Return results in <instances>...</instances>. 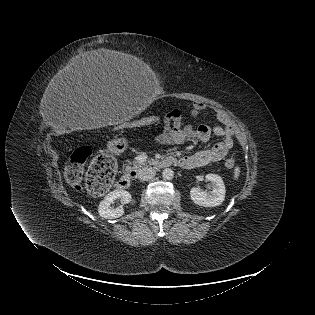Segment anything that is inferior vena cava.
I'll return each mask as SVG.
<instances>
[{"label": "inferior vena cava", "instance_id": "obj_1", "mask_svg": "<svg viewBox=\"0 0 315 315\" xmlns=\"http://www.w3.org/2000/svg\"><path fill=\"white\" fill-rule=\"evenodd\" d=\"M156 174V171L154 168L152 167H143L139 174H138V178L140 181H148L150 179H152Z\"/></svg>", "mask_w": 315, "mask_h": 315}]
</instances>
